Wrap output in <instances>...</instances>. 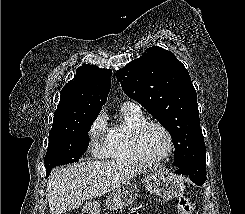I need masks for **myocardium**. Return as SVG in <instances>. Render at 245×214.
Masks as SVG:
<instances>
[{
	"instance_id": "obj_1",
	"label": "myocardium",
	"mask_w": 245,
	"mask_h": 214,
	"mask_svg": "<svg viewBox=\"0 0 245 214\" xmlns=\"http://www.w3.org/2000/svg\"><path fill=\"white\" fill-rule=\"evenodd\" d=\"M149 127H157L159 128L167 137L168 140V148L167 151L163 156L157 159H149L147 158L142 150L141 147V137L144 133V131L149 128ZM130 143H131V148L136 156V158L142 162L145 165L148 166H155L163 163L165 160H167L173 153L174 150V139L171 134V132L168 130L167 127H165L163 124L156 122V121H144L138 125H136L131 133H130Z\"/></svg>"
}]
</instances>
